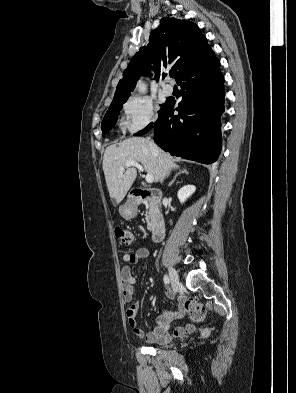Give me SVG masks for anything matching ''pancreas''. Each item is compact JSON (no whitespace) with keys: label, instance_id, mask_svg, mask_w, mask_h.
<instances>
[{"label":"pancreas","instance_id":"obj_1","mask_svg":"<svg viewBox=\"0 0 296 393\" xmlns=\"http://www.w3.org/2000/svg\"><path fill=\"white\" fill-rule=\"evenodd\" d=\"M146 208L149 209L148 214L146 216L147 227L149 230H152L153 222H154L155 215H156L155 205L149 201L146 203Z\"/></svg>","mask_w":296,"mask_h":393}]
</instances>
